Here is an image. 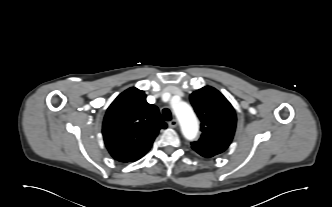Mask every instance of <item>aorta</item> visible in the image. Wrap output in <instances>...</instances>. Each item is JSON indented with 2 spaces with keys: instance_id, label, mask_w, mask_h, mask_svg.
Segmentation results:
<instances>
[{
  "instance_id": "762f6f07",
  "label": "aorta",
  "mask_w": 332,
  "mask_h": 207,
  "mask_svg": "<svg viewBox=\"0 0 332 207\" xmlns=\"http://www.w3.org/2000/svg\"><path fill=\"white\" fill-rule=\"evenodd\" d=\"M173 111L180 123L181 131L188 140H193L198 133V120L190 105L183 101L172 103Z\"/></svg>"
}]
</instances>
